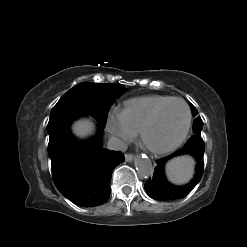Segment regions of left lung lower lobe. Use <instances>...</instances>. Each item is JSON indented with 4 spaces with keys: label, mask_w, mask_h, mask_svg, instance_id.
<instances>
[{
    "label": "left lung lower lobe",
    "mask_w": 247,
    "mask_h": 247,
    "mask_svg": "<svg viewBox=\"0 0 247 247\" xmlns=\"http://www.w3.org/2000/svg\"><path fill=\"white\" fill-rule=\"evenodd\" d=\"M184 154L192 155L196 162V174L193 180L185 186H172L167 183L164 176V165L175 156ZM204 142L201 136H192L187 143L173 154L156 161L153 177L145 184L147 194L155 200H176L184 198L198 184L203 174Z\"/></svg>",
    "instance_id": "0a47b994"
}]
</instances>
